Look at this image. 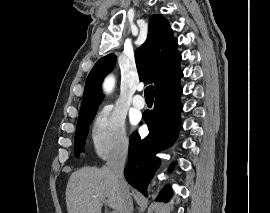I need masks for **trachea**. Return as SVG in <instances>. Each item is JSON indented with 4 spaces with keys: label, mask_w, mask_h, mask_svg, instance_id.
I'll return each instance as SVG.
<instances>
[{
    "label": "trachea",
    "mask_w": 270,
    "mask_h": 213,
    "mask_svg": "<svg viewBox=\"0 0 270 213\" xmlns=\"http://www.w3.org/2000/svg\"><path fill=\"white\" fill-rule=\"evenodd\" d=\"M144 96H145V99H150V100L154 99V87H153V85H149L145 89Z\"/></svg>",
    "instance_id": "3493384b"
}]
</instances>
